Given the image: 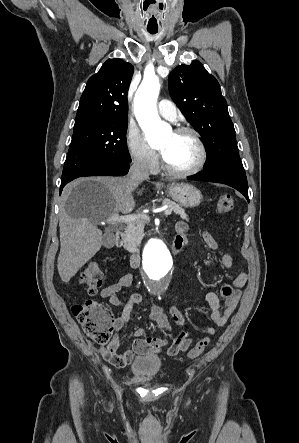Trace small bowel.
<instances>
[{
  "label": "small bowel",
  "instance_id": "1",
  "mask_svg": "<svg viewBox=\"0 0 299 443\" xmlns=\"http://www.w3.org/2000/svg\"><path fill=\"white\" fill-rule=\"evenodd\" d=\"M175 229V240L181 241L185 245L187 242L188 232L187 224L183 221H179L176 223ZM202 238L209 249H217V242L209 231H204L202 233ZM221 262L223 267L226 269H231L233 266V259L227 253L222 255ZM133 279L134 277L131 273H126L121 276L118 281L106 286L100 292V296L104 299H108L112 306L123 307L117 319L115 335L105 351V357L113 365L123 367L133 361L135 354H145L151 351L160 350L162 348H166V352L170 356H174L179 352L186 351L192 344V339L189 337L187 330L184 328L185 318L183 313L178 307H172L170 309L171 317L178 325L183 327L176 337H153L149 335L145 329L140 328L135 331V340L132 344V350H127L122 353L118 352L121 334L130 320L131 312L134 306L140 304L143 300L140 293H132L127 302H124L123 298L120 296V292L124 288L130 286ZM247 280V273L242 271L231 284L223 285L220 290V296L223 300L222 303L216 293H207L206 301L212 310L211 322L213 325L222 327L227 323L229 317L232 315L239 303L241 298V289L244 287ZM149 316L158 331L165 334L169 333L170 327L168 317L160 305H154L150 310ZM206 332L209 335H214L215 329L212 325H208L206 327Z\"/></svg>",
  "mask_w": 299,
  "mask_h": 443
}]
</instances>
